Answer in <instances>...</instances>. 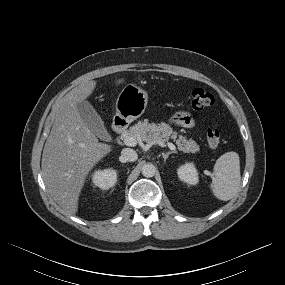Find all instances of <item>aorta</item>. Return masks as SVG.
Masks as SVG:
<instances>
[{
    "mask_svg": "<svg viewBox=\"0 0 285 285\" xmlns=\"http://www.w3.org/2000/svg\"><path fill=\"white\" fill-rule=\"evenodd\" d=\"M141 171L144 177L150 178L155 175L156 167L152 163H146L142 166Z\"/></svg>",
    "mask_w": 285,
    "mask_h": 285,
    "instance_id": "762f6f07",
    "label": "aorta"
}]
</instances>
